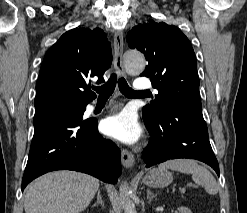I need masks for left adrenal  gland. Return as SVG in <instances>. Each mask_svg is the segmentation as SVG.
I'll list each match as a JSON object with an SVG mask.
<instances>
[{
    "instance_id": "a2214340",
    "label": "left adrenal gland",
    "mask_w": 247,
    "mask_h": 213,
    "mask_svg": "<svg viewBox=\"0 0 247 213\" xmlns=\"http://www.w3.org/2000/svg\"><path fill=\"white\" fill-rule=\"evenodd\" d=\"M157 194H153L150 189H147V199L149 200V203L152 201L154 197H156Z\"/></svg>"
}]
</instances>
